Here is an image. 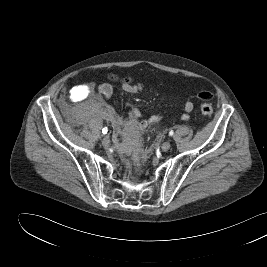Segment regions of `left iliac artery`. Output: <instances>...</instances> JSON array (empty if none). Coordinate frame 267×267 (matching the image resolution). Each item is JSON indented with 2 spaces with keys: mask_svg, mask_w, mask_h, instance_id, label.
Masks as SVG:
<instances>
[{
  "mask_svg": "<svg viewBox=\"0 0 267 267\" xmlns=\"http://www.w3.org/2000/svg\"><path fill=\"white\" fill-rule=\"evenodd\" d=\"M173 134H174V132L171 130V131L169 132V136H173Z\"/></svg>",
  "mask_w": 267,
  "mask_h": 267,
  "instance_id": "obj_1",
  "label": "left iliac artery"
}]
</instances>
